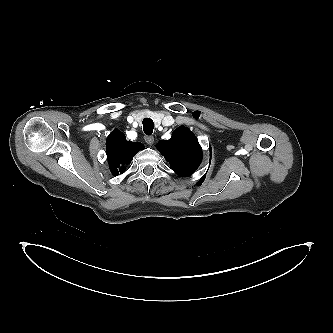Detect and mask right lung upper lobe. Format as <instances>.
Wrapping results in <instances>:
<instances>
[{
  "mask_svg": "<svg viewBox=\"0 0 333 333\" xmlns=\"http://www.w3.org/2000/svg\"><path fill=\"white\" fill-rule=\"evenodd\" d=\"M144 149V145L140 142L127 141L125 135L115 129L106 140V153L111 173L115 176L125 171L133 157Z\"/></svg>",
  "mask_w": 333,
  "mask_h": 333,
  "instance_id": "obj_1",
  "label": "right lung upper lobe"
}]
</instances>
